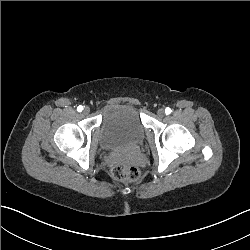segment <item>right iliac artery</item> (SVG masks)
Here are the masks:
<instances>
[{
	"mask_svg": "<svg viewBox=\"0 0 250 250\" xmlns=\"http://www.w3.org/2000/svg\"><path fill=\"white\" fill-rule=\"evenodd\" d=\"M82 110H83V106L79 105V106L77 107V111H78V112H82Z\"/></svg>",
	"mask_w": 250,
	"mask_h": 250,
	"instance_id": "right-iliac-artery-1",
	"label": "right iliac artery"
}]
</instances>
